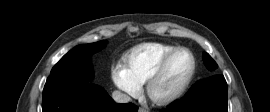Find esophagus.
Instances as JSON below:
<instances>
[{"label": "esophagus", "mask_w": 270, "mask_h": 112, "mask_svg": "<svg viewBox=\"0 0 270 112\" xmlns=\"http://www.w3.org/2000/svg\"><path fill=\"white\" fill-rule=\"evenodd\" d=\"M138 112H148V111L143 108H139Z\"/></svg>", "instance_id": "1"}]
</instances>
